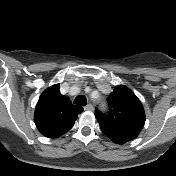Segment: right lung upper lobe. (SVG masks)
Masks as SVG:
<instances>
[{"instance_id": "obj_1", "label": "right lung upper lobe", "mask_w": 176, "mask_h": 176, "mask_svg": "<svg viewBox=\"0 0 176 176\" xmlns=\"http://www.w3.org/2000/svg\"><path fill=\"white\" fill-rule=\"evenodd\" d=\"M83 111L60 93L59 84L47 88L39 97L34 122L42 135L57 138L69 131Z\"/></svg>"}]
</instances>
